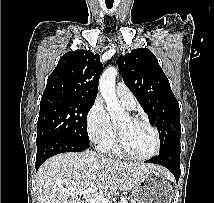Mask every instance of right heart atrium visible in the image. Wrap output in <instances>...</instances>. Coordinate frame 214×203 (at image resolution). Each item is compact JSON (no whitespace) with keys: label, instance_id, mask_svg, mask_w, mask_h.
<instances>
[{"label":"right heart atrium","instance_id":"1","mask_svg":"<svg viewBox=\"0 0 214 203\" xmlns=\"http://www.w3.org/2000/svg\"><path fill=\"white\" fill-rule=\"evenodd\" d=\"M85 126L90 140L100 147L109 142L116 134V126L110 120L99 99H96L88 110Z\"/></svg>","mask_w":214,"mask_h":203}]
</instances>
